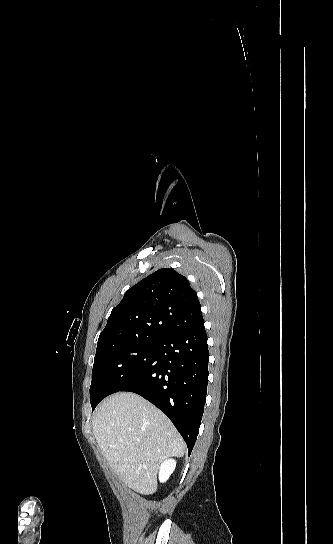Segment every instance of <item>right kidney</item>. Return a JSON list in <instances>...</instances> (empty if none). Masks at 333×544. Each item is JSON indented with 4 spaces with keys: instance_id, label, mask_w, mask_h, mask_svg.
<instances>
[{
    "instance_id": "1",
    "label": "right kidney",
    "mask_w": 333,
    "mask_h": 544,
    "mask_svg": "<svg viewBox=\"0 0 333 544\" xmlns=\"http://www.w3.org/2000/svg\"><path fill=\"white\" fill-rule=\"evenodd\" d=\"M176 467V462L172 459H168L164 461L160 466L159 471V481L160 482H166L170 475L173 473L174 469Z\"/></svg>"
}]
</instances>
